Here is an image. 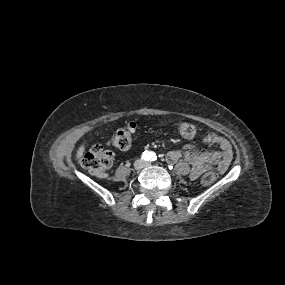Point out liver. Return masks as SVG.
<instances>
[{"instance_id": "1", "label": "liver", "mask_w": 285, "mask_h": 285, "mask_svg": "<svg viewBox=\"0 0 285 285\" xmlns=\"http://www.w3.org/2000/svg\"><path fill=\"white\" fill-rule=\"evenodd\" d=\"M84 151H85V147H84V145H81V146L78 148L77 153H76V159H77L78 161H80L81 157L83 156Z\"/></svg>"}]
</instances>
